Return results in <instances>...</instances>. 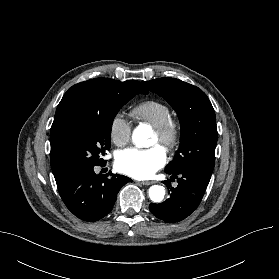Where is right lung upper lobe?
Listing matches in <instances>:
<instances>
[{
	"label": "right lung upper lobe",
	"instance_id": "cb5924a9",
	"mask_svg": "<svg viewBox=\"0 0 279 279\" xmlns=\"http://www.w3.org/2000/svg\"><path fill=\"white\" fill-rule=\"evenodd\" d=\"M131 90L147 94L146 88L136 80L120 82L110 78H95L73 85L60 101L50 130L51 168L57 185L70 174L60 152V134L65 122L75 114L99 109L109 93Z\"/></svg>",
	"mask_w": 279,
	"mask_h": 279
}]
</instances>
